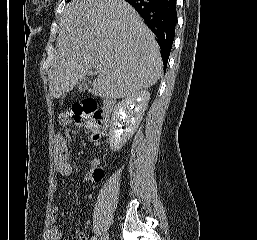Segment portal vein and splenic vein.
<instances>
[{
    "label": "portal vein and splenic vein",
    "instance_id": "obj_1",
    "mask_svg": "<svg viewBox=\"0 0 257 240\" xmlns=\"http://www.w3.org/2000/svg\"><path fill=\"white\" fill-rule=\"evenodd\" d=\"M93 68H94V69H96V70L98 71L99 66L95 64V65L93 66Z\"/></svg>",
    "mask_w": 257,
    "mask_h": 240
}]
</instances>
